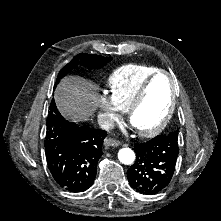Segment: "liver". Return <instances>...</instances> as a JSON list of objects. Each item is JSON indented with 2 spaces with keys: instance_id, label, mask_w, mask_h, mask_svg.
Wrapping results in <instances>:
<instances>
[{
  "instance_id": "obj_1",
  "label": "liver",
  "mask_w": 221,
  "mask_h": 221,
  "mask_svg": "<svg viewBox=\"0 0 221 221\" xmlns=\"http://www.w3.org/2000/svg\"><path fill=\"white\" fill-rule=\"evenodd\" d=\"M54 99L61 114L75 122L86 121L99 105L95 86L78 76L62 79Z\"/></svg>"
}]
</instances>
